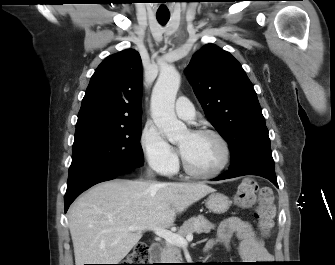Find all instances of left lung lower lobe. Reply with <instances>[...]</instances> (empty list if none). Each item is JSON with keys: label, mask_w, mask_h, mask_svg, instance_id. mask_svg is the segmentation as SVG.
Masks as SVG:
<instances>
[{"label": "left lung lower lobe", "mask_w": 335, "mask_h": 265, "mask_svg": "<svg viewBox=\"0 0 335 265\" xmlns=\"http://www.w3.org/2000/svg\"><path fill=\"white\" fill-rule=\"evenodd\" d=\"M243 175L262 176L270 180L276 187H278L275 171L262 168V167H257V166L244 167L240 169H229V171L217 177L215 180H224V179L234 178V177L243 176Z\"/></svg>", "instance_id": "obj_1"}]
</instances>
